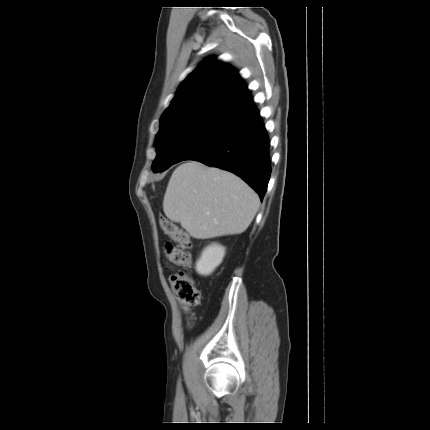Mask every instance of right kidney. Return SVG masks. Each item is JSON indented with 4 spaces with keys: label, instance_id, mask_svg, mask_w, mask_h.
I'll return each instance as SVG.
<instances>
[{
    "label": "right kidney",
    "instance_id": "obj_1",
    "mask_svg": "<svg viewBox=\"0 0 430 430\" xmlns=\"http://www.w3.org/2000/svg\"><path fill=\"white\" fill-rule=\"evenodd\" d=\"M224 256L225 248L218 243H212L202 251L196 262V272L202 276L211 275L221 264Z\"/></svg>",
    "mask_w": 430,
    "mask_h": 430
}]
</instances>
